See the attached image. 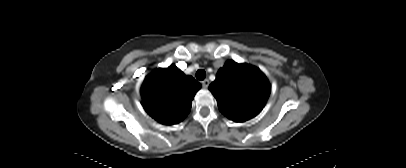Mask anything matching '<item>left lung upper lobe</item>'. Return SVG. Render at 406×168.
Instances as JSON below:
<instances>
[{
  "instance_id": "left-lung-upper-lobe-1",
  "label": "left lung upper lobe",
  "mask_w": 406,
  "mask_h": 168,
  "mask_svg": "<svg viewBox=\"0 0 406 168\" xmlns=\"http://www.w3.org/2000/svg\"><path fill=\"white\" fill-rule=\"evenodd\" d=\"M219 110L235 122L255 117L266 104L271 86L260 69L228 60L209 86Z\"/></svg>"
}]
</instances>
